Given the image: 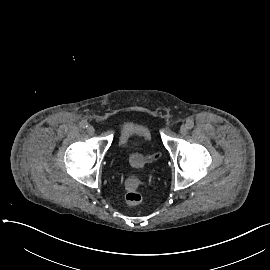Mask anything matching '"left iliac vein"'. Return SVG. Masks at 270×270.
Here are the masks:
<instances>
[{"label": "left iliac vein", "instance_id": "left-iliac-vein-1", "mask_svg": "<svg viewBox=\"0 0 270 270\" xmlns=\"http://www.w3.org/2000/svg\"><path fill=\"white\" fill-rule=\"evenodd\" d=\"M187 131H188V128L186 127V125L183 124V125L180 126V133L182 135H186Z\"/></svg>", "mask_w": 270, "mask_h": 270}]
</instances>
